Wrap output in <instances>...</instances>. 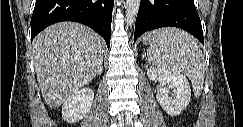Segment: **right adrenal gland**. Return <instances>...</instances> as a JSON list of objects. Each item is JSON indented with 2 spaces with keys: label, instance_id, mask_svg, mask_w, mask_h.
<instances>
[{
  "label": "right adrenal gland",
  "instance_id": "1",
  "mask_svg": "<svg viewBox=\"0 0 243 127\" xmlns=\"http://www.w3.org/2000/svg\"><path fill=\"white\" fill-rule=\"evenodd\" d=\"M102 69H103V67L101 66V68H100L98 74H101V73H102Z\"/></svg>",
  "mask_w": 243,
  "mask_h": 127
}]
</instances>
